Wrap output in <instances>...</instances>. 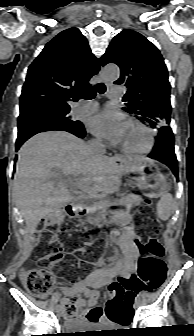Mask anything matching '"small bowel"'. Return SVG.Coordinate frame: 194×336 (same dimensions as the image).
<instances>
[{
	"instance_id": "small-bowel-1",
	"label": "small bowel",
	"mask_w": 194,
	"mask_h": 336,
	"mask_svg": "<svg viewBox=\"0 0 194 336\" xmlns=\"http://www.w3.org/2000/svg\"><path fill=\"white\" fill-rule=\"evenodd\" d=\"M122 222L128 221V216H119ZM136 234L129 225L124 227L118 240V248L115 249L109 265L105 266L103 261L88 275L73 285L61 288L66 297L83 294L86 301H80L76 312L70 314L72 320L81 319L88 323V326L98 325L102 322L110 323L102 316L99 307L96 306L99 297L98 289L111 283L114 279L121 281L130 279L137 268L138 248ZM64 304V300H63Z\"/></svg>"
}]
</instances>
